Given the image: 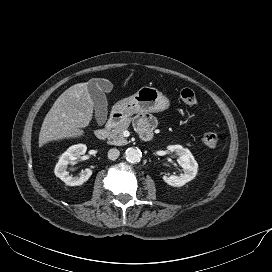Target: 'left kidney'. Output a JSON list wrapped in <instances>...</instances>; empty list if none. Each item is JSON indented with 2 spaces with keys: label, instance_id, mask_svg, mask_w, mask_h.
<instances>
[{
  "label": "left kidney",
  "instance_id": "1",
  "mask_svg": "<svg viewBox=\"0 0 272 272\" xmlns=\"http://www.w3.org/2000/svg\"><path fill=\"white\" fill-rule=\"evenodd\" d=\"M167 149L178 155V163L182 167L183 173L180 176H163V180L170 186L181 187L194 179L198 172V163L192 153L181 145H170Z\"/></svg>",
  "mask_w": 272,
  "mask_h": 272
}]
</instances>
